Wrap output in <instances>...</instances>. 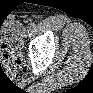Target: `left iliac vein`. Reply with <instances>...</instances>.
<instances>
[{
  "label": "left iliac vein",
  "instance_id": "4c4485c4",
  "mask_svg": "<svg viewBox=\"0 0 93 93\" xmlns=\"http://www.w3.org/2000/svg\"><path fill=\"white\" fill-rule=\"evenodd\" d=\"M29 31H30L29 27H25L24 30H23V36H27Z\"/></svg>",
  "mask_w": 93,
  "mask_h": 93
}]
</instances>
